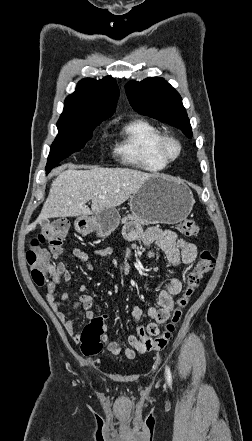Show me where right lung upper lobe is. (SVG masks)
Wrapping results in <instances>:
<instances>
[{
  "label": "right lung upper lobe",
  "mask_w": 252,
  "mask_h": 441,
  "mask_svg": "<svg viewBox=\"0 0 252 441\" xmlns=\"http://www.w3.org/2000/svg\"><path fill=\"white\" fill-rule=\"evenodd\" d=\"M118 96V86L111 76L98 81L84 78L76 91L66 98L61 117L104 121L115 111Z\"/></svg>",
  "instance_id": "cb5924a9"
}]
</instances>
